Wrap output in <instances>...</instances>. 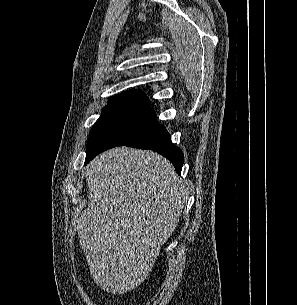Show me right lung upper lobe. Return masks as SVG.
I'll return each mask as SVG.
<instances>
[{
  "label": "right lung upper lobe",
  "mask_w": 297,
  "mask_h": 305,
  "mask_svg": "<svg viewBox=\"0 0 297 305\" xmlns=\"http://www.w3.org/2000/svg\"><path fill=\"white\" fill-rule=\"evenodd\" d=\"M120 99H133V100H145L148 101V97L142 92L138 90H129L123 92L117 96L112 97L108 102Z\"/></svg>",
  "instance_id": "right-lung-upper-lobe-1"
}]
</instances>
